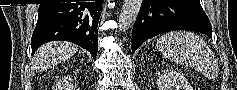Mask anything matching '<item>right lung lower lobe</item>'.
I'll return each mask as SVG.
<instances>
[{"instance_id":"right-lung-lower-lobe-1","label":"right lung lower lobe","mask_w":237,"mask_h":90,"mask_svg":"<svg viewBox=\"0 0 237 90\" xmlns=\"http://www.w3.org/2000/svg\"><path fill=\"white\" fill-rule=\"evenodd\" d=\"M102 1L40 4L34 29L32 54L42 44L54 40L75 43L90 51L93 59L98 51V21Z\"/></svg>"}]
</instances>
